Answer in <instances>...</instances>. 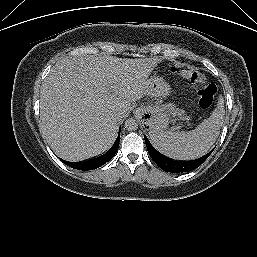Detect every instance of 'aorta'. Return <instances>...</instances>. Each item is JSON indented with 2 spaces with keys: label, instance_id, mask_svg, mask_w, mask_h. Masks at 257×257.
Instances as JSON below:
<instances>
[{
  "label": "aorta",
  "instance_id": "1",
  "mask_svg": "<svg viewBox=\"0 0 257 257\" xmlns=\"http://www.w3.org/2000/svg\"><path fill=\"white\" fill-rule=\"evenodd\" d=\"M124 126L128 131H135L138 129V121L133 118H129L125 121Z\"/></svg>",
  "mask_w": 257,
  "mask_h": 257
}]
</instances>
